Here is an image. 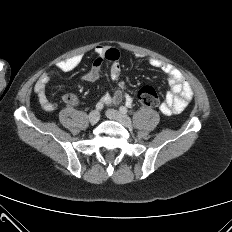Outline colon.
I'll return each mask as SVG.
<instances>
[{
    "label": "colon",
    "instance_id": "1",
    "mask_svg": "<svg viewBox=\"0 0 232 232\" xmlns=\"http://www.w3.org/2000/svg\"><path fill=\"white\" fill-rule=\"evenodd\" d=\"M138 100L147 107H156L159 102L157 91L152 86H143L137 93Z\"/></svg>",
    "mask_w": 232,
    "mask_h": 232
}]
</instances>
